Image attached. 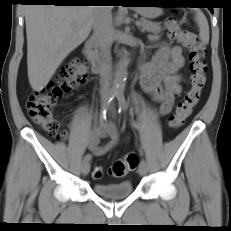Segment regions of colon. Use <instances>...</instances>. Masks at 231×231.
I'll return each instance as SVG.
<instances>
[{
	"label": "colon",
	"instance_id": "5ec220e1",
	"mask_svg": "<svg viewBox=\"0 0 231 231\" xmlns=\"http://www.w3.org/2000/svg\"><path fill=\"white\" fill-rule=\"evenodd\" d=\"M168 36L177 40L189 52L190 89L178 103L175 111L168 119L169 127L180 128L191 114L201 97V91L206 83V48L199 40L197 34L185 29L175 17H169L164 23ZM88 79L87 64L79 59L69 62L60 72L57 80L51 82L47 89L32 93L26 103L29 116L39 124L42 129L53 139L66 138V132L61 129L59 121L54 116V106L58 99L72 89L84 84ZM138 165V156L131 152L122 159L116 160L109 169L114 177H123ZM103 169L96 166L92 170V177L100 179Z\"/></svg>",
	"mask_w": 231,
	"mask_h": 231
}]
</instances>
